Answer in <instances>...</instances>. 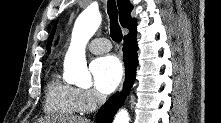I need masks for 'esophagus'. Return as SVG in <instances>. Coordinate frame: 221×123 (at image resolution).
I'll return each instance as SVG.
<instances>
[{
  "label": "esophagus",
  "mask_w": 221,
  "mask_h": 123,
  "mask_svg": "<svg viewBox=\"0 0 221 123\" xmlns=\"http://www.w3.org/2000/svg\"><path fill=\"white\" fill-rule=\"evenodd\" d=\"M122 90V85L120 86V88H119V91H121Z\"/></svg>",
  "instance_id": "34e87169"
}]
</instances>
